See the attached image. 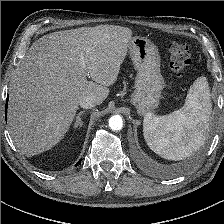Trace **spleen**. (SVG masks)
<instances>
[{
	"mask_svg": "<svg viewBox=\"0 0 224 224\" xmlns=\"http://www.w3.org/2000/svg\"><path fill=\"white\" fill-rule=\"evenodd\" d=\"M212 112L207 79L198 77L190 86L185 104L168 115L148 113L144 138L150 149L167 160H182L198 150L207 137Z\"/></svg>",
	"mask_w": 224,
	"mask_h": 224,
	"instance_id": "3e777b00",
	"label": "spleen"
}]
</instances>
